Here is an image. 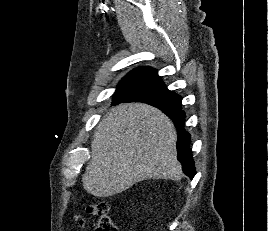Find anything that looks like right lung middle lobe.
I'll list each match as a JSON object with an SVG mask.
<instances>
[{
    "label": "right lung middle lobe",
    "mask_w": 268,
    "mask_h": 231,
    "mask_svg": "<svg viewBox=\"0 0 268 231\" xmlns=\"http://www.w3.org/2000/svg\"><path fill=\"white\" fill-rule=\"evenodd\" d=\"M127 92L139 98L163 101L175 106H181V97L169 91L164 84L149 83L130 89H117L115 97Z\"/></svg>",
    "instance_id": "right-lung-middle-lobe-1"
}]
</instances>
